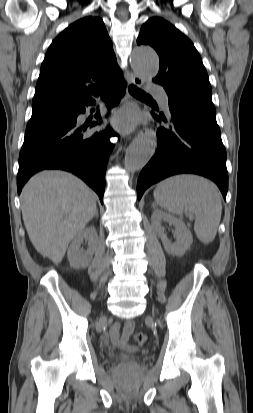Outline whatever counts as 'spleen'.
I'll return each mask as SVG.
<instances>
[{
  "label": "spleen",
  "mask_w": 253,
  "mask_h": 413,
  "mask_svg": "<svg viewBox=\"0 0 253 413\" xmlns=\"http://www.w3.org/2000/svg\"><path fill=\"white\" fill-rule=\"evenodd\" d=\"M154 198L173 214H194L197 238L204 244L214 240L222 212L221 196L214 183L192 174L172 176L157 185Z\"/></svg>",
  "instance_id": "3e777b00"
}]
</instances>
